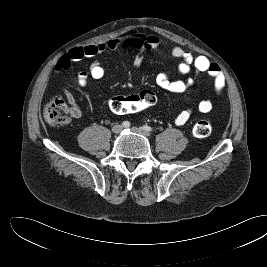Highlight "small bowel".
<instances>
[{
  "label": "small bowel",
  "instance_id": "small-bowel-1",
  "mask_svg": "<svg viewBox=\"0 0 267 267\" xmlns=\"http://www.w3.org/2000/svg\"><path fill=\"white\" fill-rule=\"evenodd\" d=\"M163 44V40L157 36L136 33L113 38L98 44L75 47L58 59L55 70L60 74L68 70L76 61L83 58L91 59L92 61L89 69L80 71L76 78L78 86L85 87L91 79L98 80L105 75V69L97 59L101 53L118 48L136 50L138 54L134 59V67L135 69H139L142 64V53L158 49L162 47ZM171 55L173 58L180 61L177 66V71L180 75H188L192 70H194L195 74L206 73L211 79L214 91L218 94L222 93L225 88V77L217 64L211 62L203 55L195 56L190 51L180 46L173 47ZM155 82L159 87L169 92L183 93L193 84L194 80L191 77L187 79H173L168 73L161 72L157 74ZM63 91L71 106L73 115L76 117L79 116L81 111L73 92L67 88H64ZM196 109L203 114L209 113L212 110V102L209 99H203L199 101ZM193 111V108L190 107L183 109L175 117V124L178 126L186 124L191 118Z\"/></svg>",
  "mask_w": 267,
  "mask_h": 267
}]
</instances>
